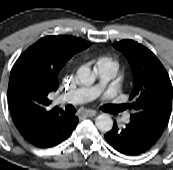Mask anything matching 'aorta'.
Segmentation results:
<instances>
[{"instance_id":"762f6f07","label":"aorta","mask_w":173,"mask_h":170,"mask_svg":"<svg viewBox=\"0 0 173 170\" xmlns=\"http://www.w3.org/2000/svg\"><path fill=\"white\" fill-rule=\"evenodd\" d=\"M77 78L84 85L95 82V75L88 67H81L77 71ZM96 127L102 132H108L113 127V120L108 114H100L95 119Z\"/></svg>"}]
</instances>
